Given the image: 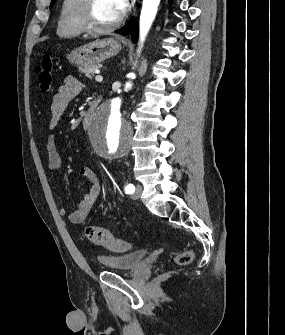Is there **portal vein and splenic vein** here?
Wrapping results in <instances>:
<instances>
[{
    "label": "portal vein and splenic vein",
    "instance_id": "portal-vein-and-splenic-vein-1",
    "mask_svg": "<svg viewBox=\"0 0 285 335\" xmlns=\"http://www.w3.org/2000/svg\"><path fill=\"white\" fill-rule=\"evenodd\" d=\"M95 74H100V70H94ZM96 82H103V76H95Z\"/></svg>",
    "mask_w": 285,
    "mask_h": 335
}]
</instances>
